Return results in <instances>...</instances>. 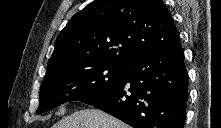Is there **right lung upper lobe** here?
<instances>
[{"mask_svg":"<svg viewBox=\"0 0 221 128\" xmlns=\"http://www.w3.org/2000/svg\"><path fill=\"white\" fill-rule=\"evenodd\" d=\"M179 44L162 0H94L58 35L46 73L75 63L128 66L141 56Z\"/></svg>","mask_w":221,"mask_h":128,"instance_id":"right-lung-upper-lobe-1","label":"right lung upper lobe"}]
</instances>
